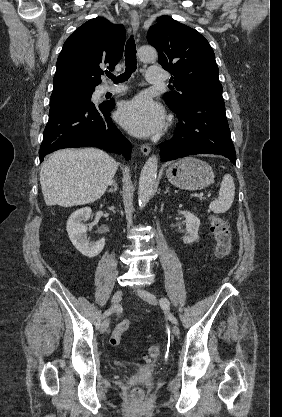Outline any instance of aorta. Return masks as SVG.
<instances>
[{
    "label": "aorta",
    "mask_w": 282,
    "mask_h": 417,
    "mask_svg": "<svg viewBox=\"0 0 282 417\" xmlns=\"http://www.w3.org/2000/svg\"><path fill=\"white\" fill-rule=\"evenodd\" d=\"M137 56L140 60H155L157 58V50L153 46H140L137 50ZM158 158L155 154L149 156L146 160L140 174L138 186V202L139 206L147 204L150 194L155 188L157 178Z\"/></svg>",
    "instance_id": "762f6f07"
}]
</instances>
